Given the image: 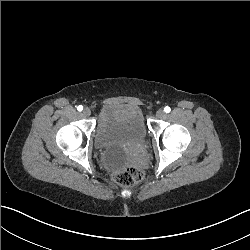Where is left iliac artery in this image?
<instances>
[{"label":"left iliac artery","mask_w":250,"mask_h":250,"mask_svg":"<svg viewBox=\"0 0 250 250\" xmlns=\"http://www.w3.org/2000/svg\"><path fill=\"white\" fill-rule=\"evenodd\" d=\"M164 111H165L166 113H169V112L171 111V109H170V107L166 106V107L164 108Z\"/></svg>","instance_id":"1"}]
</instances>
